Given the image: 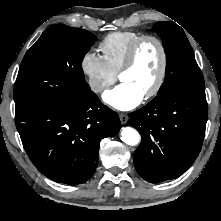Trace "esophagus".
<instances>
[{
  "label": "esophagus",
  "mask_w": 221,
  "mask_h": 221,
  "mask_svg": "<svg viewBox=\"0 0 221 221\" xmlns=\"http://www.w3.org/2000/svg\"><path fill=\"white\" fill-rule=\"evenodd\" d=\"M119 117H120V121H121L122 124H126V123H127V121H128V116H127L126 114L121 113V114L119 115Z\"/></svg>",
  "instance_id": "esophagus-1"
}]
</instances>
